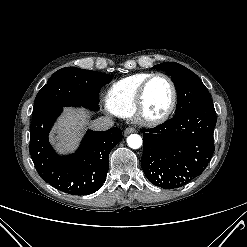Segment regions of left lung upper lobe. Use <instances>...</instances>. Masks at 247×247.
Returning a JSON list of instances; mask_svg holds the SVG:
<instances>
[{
	"label": "left lung upper lobe",
	"mask_w": 247,
	"mask_h": 247,
	"mask_svg": "<svg viewBox=\"0 0 247 247\" xmlns=\"http://www.w3.org/2000/svg\"><path fill=\"white\" fill-rule=\"evenodd\" d=\"M154 67L169 73L175 82L178 96L175 115L197 106L213 104L205 85L188 68L175 62H165Z\"/></svg>",
	"instance_id": "left-lung-upper-lobe-1"
}]
</instances>
